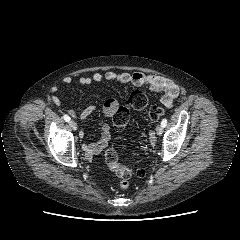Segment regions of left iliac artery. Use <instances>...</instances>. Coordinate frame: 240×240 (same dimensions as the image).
I'll return each instance as SVG.
<instances>
[{"instance_id": "obj_1", "label": "left iliac artery", "mask_w": 240, "mask_h": 240, "mask_svg": "<svg viewBox=\"0 0 240 240\" xmlns=\"http://www.w3.org/2000/svg\"><path fill=\"white\" fill-rule=\"evenodd\" d=\"M161 125H162V127H165L167 125V120L163 119L162 122H161Z\"/></svg>"}]
</instances>
